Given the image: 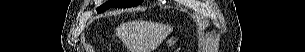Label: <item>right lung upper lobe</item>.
<instances>
[{
	"label": "right lung upper lobe",
	"mask_w": 305,
	"mask_h": 52,
	"mask_svg": "<svg viewBox=\"0 0 305 52\" xmlns=\"http://www.w3.org/2000/svg\"><path fill=\"white\" fill-rule=\"evenodd\" d=\"M132 1H142V0H132Z\"/></svg>",
	"instance_id": "obj_1"
}]
</instances>
